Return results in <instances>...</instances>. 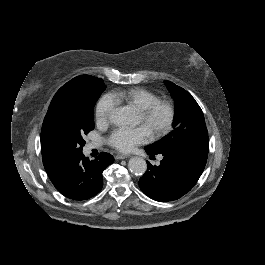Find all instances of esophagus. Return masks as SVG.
<instances>
[{
    "instance_id": "obj_1",
    "label": "esophagus",
    "mask_w": 265,
    "mask_h": 265,
    "mask_svg": "<svg viewBox=\"0 0 265 265\" xmlns=\"http://www.w3.org/2000/svg\"><path fill=\"white\" fill-rule=\"evenodd\" d=\"M129 157H131V155H129V154H117L115 156V159L122 160V159H126V158H129Z\"/></svg>"
}]
</instances>
